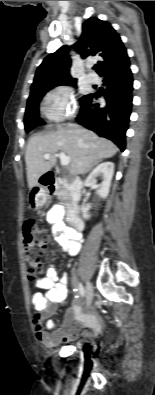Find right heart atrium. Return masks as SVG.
I'll use <instances>...</instances> for the list:
<instances>
[{"mask_svg":"<svg viewBox=\"0 0 155 395\" xmlns=\"http://www.w3.org/2000/svg\"><path fill=\"white\" fill-rule=\"evenodd\" d=\"M76 112V103L72 88L61 85L51 90L44 103L46 117L54 122L68 119Z\"/></svg>","mask_w":155,"mask_h":395,"instance_id":"right-heart-atrium-1","label":"right heart atrium"}]
</instances>
